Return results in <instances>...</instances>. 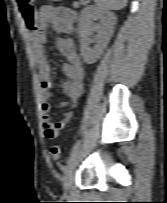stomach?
I'll return each mask as SVG.
<instances>
[{
  "label": "stomach",
  "instance_id": "obj_1",
  "mask_svg": "<svg viewBox=\"0 0 167 203\" xmlns=\"http://www.w3.org/2000/svg\"><path fill=\"white\" fill-rule=\"evenodd\" d=\"M50 1H53V2H58V1H61V0H50Z\"/></svg>",
  "mask_w": 167,
  "mask_h": 203
}]
</instances>
